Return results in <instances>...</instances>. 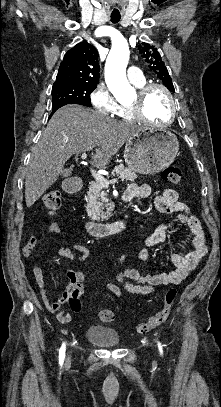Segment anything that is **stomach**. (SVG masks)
Listing matches in <instances>:
<instances>
[{
  "mask_svg": "<svg viewBox=\"0 0 221 407\" xmlns=\"http://www.w3.org/2000/svg\"><path fill=\"white\" fill-rule=\"evenodd\" d=\"M179 142L166 130L141 129L134 133L124 147L127 166L140 174H156L175 160Z\"/></svg>",
  "mask_w": 221,
  "mask_h": 407,
  "instance_id": "0dacf381",
  "label": "stomach"
}]
</instances>
